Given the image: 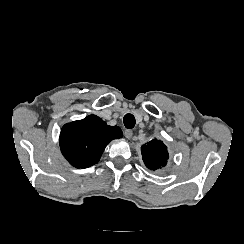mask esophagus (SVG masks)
<instances>
[{
	"mask_svg": "<svg viewBox=\"0 0 244 244\" xmlns=\"http://www.w3.org/2000/svg\"><path fill=\"white\" fill-rule=\"evenodd\" d=\"M124 135L127 139H131V137L133 136V132L130 129H126L124 131Z\"/></svg>",
	"mask_w": 244,
	"mask_h": 244,
	"instance_id": "1",
	"label": "esophagus"
}]
</instances>
